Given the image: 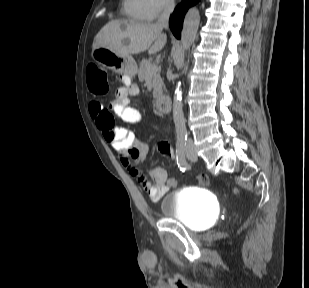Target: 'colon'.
<instances>
[{"label": "colon", "instance_id": "colon-1", "mask_svg": "<svg viewBox=\"0 0 309 288\" xmlns=\"http://www.w3.org/2000/svg\"><path fill=\"white\" fill-rule=\"evenodd\" d=\"M88 87L91 92L96 95H104L109 89V79L103 70L96 66H90L88 69ZM197 183L201 186H207L209 179L206 175H200L197 177ZM172 186L176 184L175 179L169 181ZM238 190L236 188L231 190V194H236Z\"/></svg>", "mask_w": 309, "mask_h": 288}]
</instances>
